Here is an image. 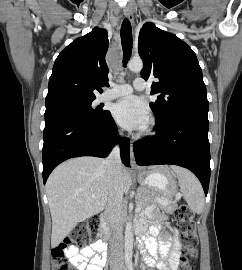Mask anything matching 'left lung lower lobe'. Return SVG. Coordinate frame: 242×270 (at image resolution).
<instances>
[{
    "instance_id": "1",
    "label": "left lung lower lobe",
    "mask_w": 242,
    "mask_h": 270,
    "mask_svg": "<svg viewBox=\"0 0 242 270\" xmlns=\"http://www.w3.org/2000/svg\"><path fill=\"white\" fill-rule=\"evenodd\" d=\"M209 121L205 112L180 113L157 123V134L133 145L138 165L173 164L191 170L207 195L210 180Z\"/></svg>"
}]
</instances>
